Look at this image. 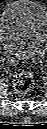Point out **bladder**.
I'll list each match as a JSON object with an SVG mask.
<instances>
[{
	"label": "bladder",
	"instance_id": "31cf9c89",
	"mask_svg": "<svg viewBox=\"0 0 47 129\" xmlns=\"http://www.w3.org/2000/svg\"><path fill=\"white\" fill-rule=\"evenodd\" d=\"M47 12L33 0H13L0 17V41L9 54L21 58L40 55L46 45Z\"/></svg>",
	"mask_w": 47,
	"mask_h": 129
}]
</instances>
